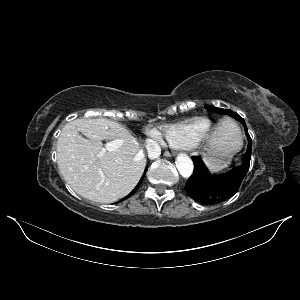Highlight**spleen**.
I'll return each mask as SVG.
<instances>
[{"instance_id": "3e777b00", "label": "spleen", "mask_w": 300, "mask_h": 300, "mask_svg": "<svg viewBox=\"0 0 300 300\" xmlns=\"http://www.w3.org/2000/svg\"><path fill=\"white\" fill-rule=\"evenodd\" d=\"M222 124L226 125L232 131L233 136L240 138V130L237 125L232 123L230 120H225Z\"/></svg>"}]
</instances>
